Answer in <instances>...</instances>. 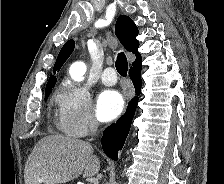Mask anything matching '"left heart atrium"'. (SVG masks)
Wrapping results in <instances>:
<instances>
[{"label": "left heart atrium", "mask_w": 224, "mask_h": 184, "mask_svg": "<svg viewBox=\"0 0 224 184\" xmlns=\"http://www.w3.org/2000/svg\"><path fill=\"white\" fill-rule=\"evenodd\" d=\"M124 100L120 93L114 90L103 91L97 98L96 112L101 121L115 119L123 110Z\"/></svg>", "instance_id": "obj_1"}]
</instances>
